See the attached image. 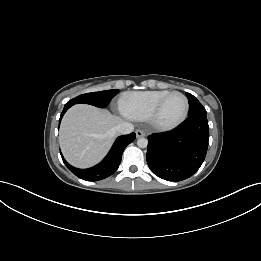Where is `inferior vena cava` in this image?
Returning <instances> with one entry per match:
<instances>
[{
  "mask_svg": "<svg viewBox=\"0 0 261 261\" xmlns=\"http://www.w3.org/2000/svg\"><path fill=\"white\" fill-rule=\"evenodd\" d=\"M134 130V125L128 122H120L114 127V131L118 135L130 134Z\"/></svg>",
  "mask_w": 261,
  "mask_h": 261,
  "instance_id": "inferior-vena-cava-1",
  "label": "inferior vena cava"
}]
</instances>
